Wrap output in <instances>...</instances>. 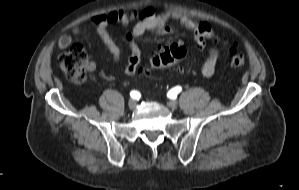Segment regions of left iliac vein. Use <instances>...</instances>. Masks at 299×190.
Masks as SVG:
<instances>
[{
	"label": "left iliac vein",
	"mask_w": 299,
	"mask_h": 190,
	"mask_svg": "<svg viewBox=\"0 0 299 190\" xmlns=\"http://www.w3.org/2000/svg\"><path fill=\"white\" fill-rule=\"evenodd\" d=\"M167 106L171 109H176L178 107V103L175 100H171L167 102Z\"/></svg>",
	"instance_id": "1"
}]
</instances>
